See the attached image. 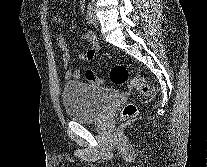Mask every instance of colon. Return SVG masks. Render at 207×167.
<instances>
[{
	"label": "colon",
	"instance_id": "obj_1",
	"mask_svg": "<svg viewBox=\"0 0 207 167\" xmlns=\"http://www.w3.org/2000/svg\"><path fill=\"white\" fill-rule=\"evenodd\" d=\"M85 77L87 81L94 84H100L103 81L99 75L91 70H87L85 72ZM110 79L114 84L117 85L128 84L130 89L144 96H150L153 93L152 86L143 77L134 76L130 78L127 67L122 64H116L111 68ZM138 111V106L135 103H128L121 110L120 118H130L135 116Z\"/></svg>",
	"mask_w": 207,
	"mask_h": 167
}]
</instances>
